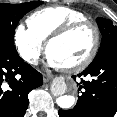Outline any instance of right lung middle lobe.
I'll return each mask as SVG.
<instances>
[{
	"mask_svg": "<svg viewBox=\"0 0 117 117\" xmlns=\"http://www.w3.org/2000/svg\"><path fill=\"white\" fill-rule=\"evenodd\" d=\"M42 3V1L21 4L0 3V49L16 51L14 32L19 20Z\"/></svg>",
	"mask_w": 117,
	"mask_h": 117,
	"instance_id": "dd1d6c3e",
	"label": "right lung middle lobe"
}]
</instances>
